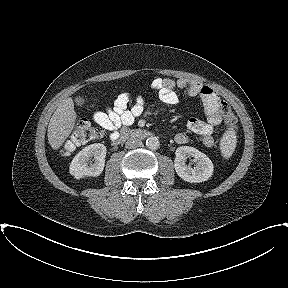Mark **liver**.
<instances>
[{
    "mask_svg": "<svg viewBox=\"0 0 288 288\" xmlns=\"http://www.w3.org/2000/svg\"><path fill=\"white\" fill-rule=\"evenodd\" d=\"M76 117L73 100L66 98L59 104L48 125V142L54 150L59 149L71 134Z\"/></svg>",
    "mask_w": 288,
    "mask_h": 288,
    "instance_id": "liver-1",
    "label": "liver"
}]
</instances>
